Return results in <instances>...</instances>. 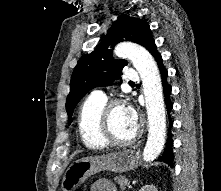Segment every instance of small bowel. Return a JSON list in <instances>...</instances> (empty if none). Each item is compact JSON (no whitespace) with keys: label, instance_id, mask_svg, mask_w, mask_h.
<instances>
[{"label":"small bowel","instance_id":"obj_1","mask_svg":"<svg viewBox=\"0 0 221 191\" xmlns=\"http://www.w3.org/2000/svg\"><path fill=\"white\" fill-rule=\"evenodd\" d=\"M91 191H117V189L112 182L99 180L92 185Z\"/></svg>","mask_w":221,"mask_h":191}]
</instances>
